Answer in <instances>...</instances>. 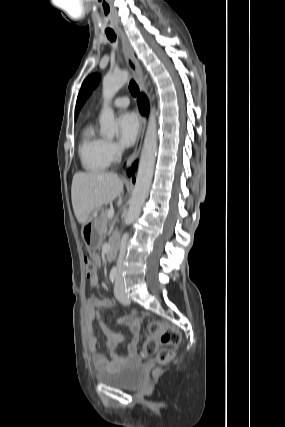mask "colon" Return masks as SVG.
Instances as JSON below:
<instances>
[{
  "label": "colon",
  "instance_id": "obj_1",
  "mask_svg": "<svg viewBox=\"0 0 285 427\" xmlns=\"http://www.w3.org/2000/svg\"><path fill=\"white\" fill-rule=\"evenodd\" d=\"M85 275L87 279L96 277L97 263L89 257L84 258ZM148 337L142 344V356L156 354L158 364L164 365L171 361L175 355V349L181 342L178 330L161 321H152L147 325ZM164 347L159 348V345ZM159 370H155L158 374Z\"/></svg>",
  "mask_w": 285,
  "mask_h": 427
}]
</instances>
